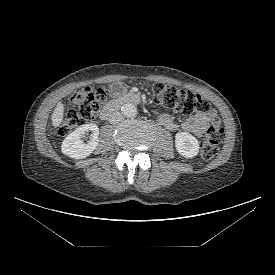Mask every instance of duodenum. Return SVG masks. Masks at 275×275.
Listing matches in <instances>:
<instances>
[{
    "mask_svg": "<svg viewBox=\"0 0 275 275\" xmlns=\"http://www.w3.org/2000/svg\"><path fill=\"white\" fill-rule=\"evenodd\" d=\"M140 102V97L136 93H127L119 96L118 98L108 102L101 111L100 118L101 120H107L112 116L116 110L126 103L138 104Z\"/></svg>",
    "mask_w": 275,
    "mask_h": 275,
    "instance_id": "1",
    "label": "duodenum"
}]
</instances>
